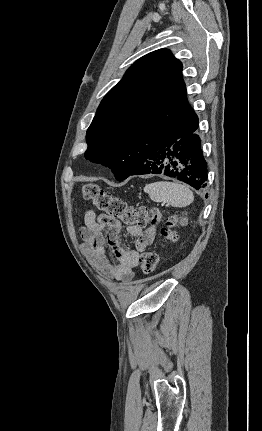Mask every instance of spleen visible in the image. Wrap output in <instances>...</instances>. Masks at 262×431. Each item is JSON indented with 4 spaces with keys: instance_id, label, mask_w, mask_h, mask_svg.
I'll list each match as a JSON object with an SVG mask.
<instances>
[{
    "instance_id": "3e777b00",
    "label": "spleen",
    "mask_w": 262,
    "mask_h": 431,
    "mask_svg": "<svg viewBox=\"0 0 262 431\" xmlns=\"http://www.w3.org/2000/svg\"><path fill=\"white\" fill-rule=\"evenodd\" d=\"M144 191L151 200L165 202L173 207H186L194 200L193 192L187 186L168 181L147 184Z\"/></svg>"
}]
</instances>
